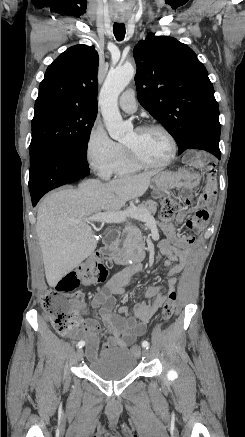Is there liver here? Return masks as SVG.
I'll return each mask as SVG.
<instances>
[{"label":"liver","instance_id":"6515ba94","mask_svg":"<svg viewBox=\"0 0 245 437\" xmlns=\"http://www.w3.org/2000/svg\"><path fill=\"white\" fill-rule=\"evenodd\" d=\"M156 173L148 171L107 183L86 180L77 189H62L43 199L38 207L36 233L50 287L96 249L95 232L84 219L102 211L119 212L127 201L147 191Z\"/></svg>","mask_w":245,"mask_h":437}]
</instances>
